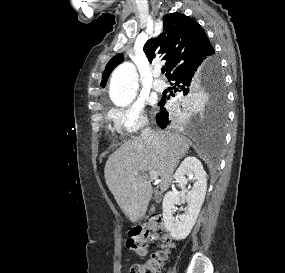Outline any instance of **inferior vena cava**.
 I'll use <instances>...</instances> for the list:
<instances>
[{
	"instance_id": "obj_1",
	"label": "inferior vena cava",
	"mask_w": 285,
	"mask_h": 273,
	"mask_svg": "<svg viewBox=\"0 0 285 273\" xmlns=\"http://www.w3.org/2000/svg\"><path fill=\"white\" fill-rule=\"evenodd\" d=\"M157 134L158 132H155V131H151V129L149 127H146L142 130L141 132V137L143 139H146V138H154V143L155 144H158L157 142Z\"/></svg>"
}]
</instances>
